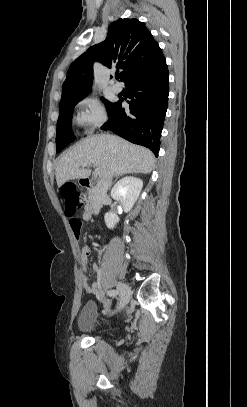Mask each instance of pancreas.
<instances>
[{
    "mask_svg": "<svg viewBox=\"0 0 247 407\" xmlns=\"http://www.w3.org/2000/svg\"><path fill=\"white\" fill-rule=\"evenodd\" d=\"M88 200L92 201L93 200V192L88 193Z\"/></svg>",
    "mask_w": 247,
    "mask_h": 407,
    "instance_id": "cf45deb5",
    "label": "pancreas"
}]
</instances>
